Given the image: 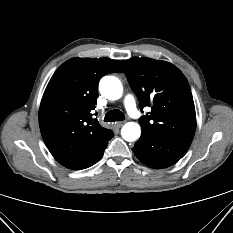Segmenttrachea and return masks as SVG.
Here are the masks:
<instances>
[{
    "instance_id": "3493384b",
    "label": "trachea",
    "mask_w": 233,
    "mask_h": 233,
    "mask_svg": "<svg viewBox=\"0 0 233 233\" xmlns=\"http://www.w3.org/2000/svg\"><path fill=\"white\" fill-rule=\"evenodd\" d=\"M124 118L125 116L120 110L114 109L106 113L104 121L105 122L122 121L124 120Z\"/></svg>"
}]
</instances>
